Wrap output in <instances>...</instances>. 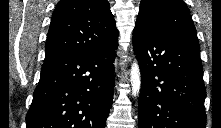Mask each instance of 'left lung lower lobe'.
Here are the masks:
<instances>
[{
  "mask_svg": "<svg viewBox=\"0 0 221 128\" xmlns=\"http://www.w3.org/2000/svg\"><path fill=\"white\" fill-rule=\"evenodd\" d=\"M133 45L142 74L139 128H205L200 50L141 28Z\"/></svg>",
  "mask_w": 221,
  "mask_h": 128,
  "instance_id": "1",
  "label": "left lung lower lobe"
}]
</instances>
